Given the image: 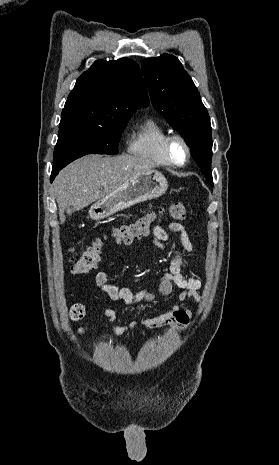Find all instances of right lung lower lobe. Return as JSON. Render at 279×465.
Returning a JSON list of instances; mask_svg holds the SVG:
<instances>
[{"label":"right lung lower lobe","instance_id":"obj_1","mask_svg":"<svg viewBox=\"0 0 279 465\" xmlns=\"http://www.w3.org/2000/svg\"><path fill=\"white\" fill-rule=\"evenodd\" d=\"M62 168L63 167L53 168L52 169V174H51V177H50L51 182L54 180L55 176L58 174L59 170L62 169Z\"/></svg>","mask_w":279,"mask_h":465}]
</instances>
